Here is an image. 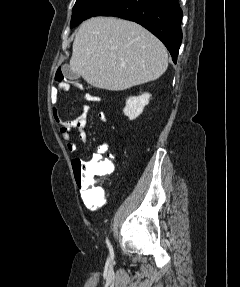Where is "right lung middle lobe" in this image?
<instances>
[{
  "label": "right lung middle lobe",
  "instance_id": "1",
  "mask_svg": "<svg viewBox=\"0 0 240 287\" xmlns=\"http://www.w3.org/2000/svg\"><path fill=\"white\" fill-rule=\"evenodd\" d=\"M107 0H76L72 11L70 27L73 28L82 21L92 17Z\"/></svg>",
  "mask_w": 240,
  "mask_h": 287
}]
</instances>
